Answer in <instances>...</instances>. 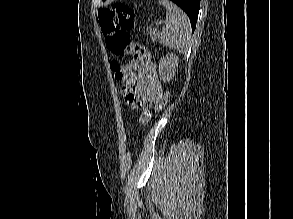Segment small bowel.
Here are the masks:
<instances>
[{"label": "small bowel", "instance_id": "obj_1", "mask_svg": "<svg viewBox=\"0 0 293 219\" xmlns=\"http://www.w3.org/2000/svg\"><path fill=\"white\" fill-rule=\"evenodd\" d=\"M122 94L127 104L142 112L140 122L150 119L149 108L162 97V85L153 63L148 62L137 71L127 72L123 79Z\"/></svg>", "mask_w": 293, "mask_h": 219}]
</instances>
